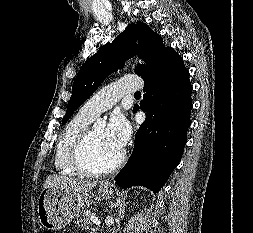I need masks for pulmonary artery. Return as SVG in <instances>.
I'll use <instances>...</instances> for the list:
<instances>
[{
    "instance_id": "e3ab8cb5",
    "label": "pulmonary artery",
    "mask_w": 253,
    "mask_h": 233,
    "mask_svg": "<svg viewBox=\"0 0 253 233\" xmlns=\"http://www.w3.org/2000/svg\"><path fill=\"white\" fill-rule=\"evenodd\" d=\"M142 82L138 77H123L104 87L92 96L80 109V113L95 118L110 109L123 95L136 92Z\"/></svg>"
}]
</instances>
